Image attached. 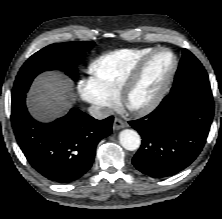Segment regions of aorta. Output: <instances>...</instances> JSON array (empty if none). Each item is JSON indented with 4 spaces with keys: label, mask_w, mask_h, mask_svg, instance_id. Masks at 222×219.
I'll return each instance as SVG.
<instances>
[{
    "label": "aorta",
    "mask_w": 222,
    "mask_h": 219,
    "mask_svg": "<svg viewBox=\"0 0 222 219\" xmlns=\"http://www.w3.org/2000/svg\"><path fill=\"white\" fill-rule=\"evenodd\" d=\"M119 141L123 148L134 151L140 147L141 139L139 134L132 129H124L119 133Z\"/></svg>",
    "instance_id": "obj_1"
}]
</instances>
